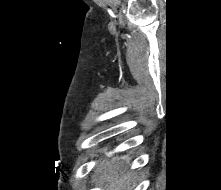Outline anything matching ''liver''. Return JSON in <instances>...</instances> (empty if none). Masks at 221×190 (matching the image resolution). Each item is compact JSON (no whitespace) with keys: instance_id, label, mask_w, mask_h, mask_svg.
Segmentation results:
<instances>
[{"instance_id":"liver-1","label":"liver","mask_w":221,"mask_h":190,"mask_svg":"<svg viewBox=\"0 0 221 190\" xmlns=\"http://www.w3.org/2000/svg\"><path fill=\"white\" fill-rule=\"evenodd\" d=\"M134 175L125 172L117 159L111 158L102 161L95 169L92 182L97 185L104 184L105 190H132Z\"/></svg>"}]
</instances>
